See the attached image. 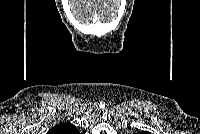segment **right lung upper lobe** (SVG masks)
<instances>
[{
  "label": "right lung upper lobe",
  "instance_id": "obj_1",
  "mask_svg": "<svg viewBox=\"0 0 200 134\" xmlns=\"http://www.w3.org/2000/svg\"><path fill=\"white\" fill-rule=\"evenodd\" d=\"M49 134H75L78 133L76 127L70 123L56 125L48 132Z\"/></svg>",
  "mask_w": 200,
  "mask_h": 134
}]
</instances>
